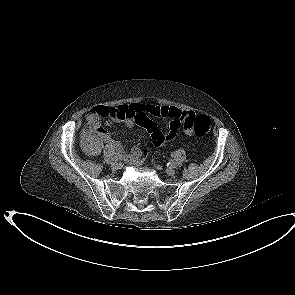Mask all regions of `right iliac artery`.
Returning a JSON list of instances; mask_svg holds the SVG:
<instances>
[{"label": "right iliac artery", "instance_id": "82829eb1", "mask_svg": "<svg viewBox=\"0 0 295 295\" xmlns=\"http://www.w3.org/2000/svg\"><path fill=\"white\" fill-rule=\"evenodd\" d=\"M118 159H119L118 156H114V157H112V160H113V161H117Z\"/></svg>", "mask_w": 295, "mask_h": 295}]
</instances>
